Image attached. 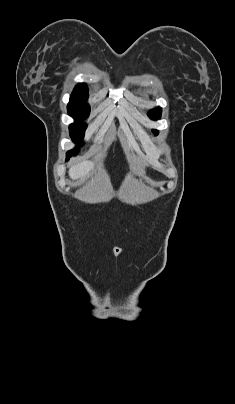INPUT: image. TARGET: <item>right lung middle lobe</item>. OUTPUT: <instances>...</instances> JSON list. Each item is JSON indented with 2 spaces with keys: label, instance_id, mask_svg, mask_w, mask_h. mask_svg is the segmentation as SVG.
I'll use <instances>...</instances> for the list:
<instances>
[{
  "label": "right lung middle lobe",
  "instance_id": "obj_1",
  "mask_svg": "<svg viewBox=\"0 0 235 404\" xmlns=\"http://www.w3.org/2000/svg\"><path fill=\"white\" fill-rule=\"evenodd\" d=\"M68 113L71 117L75 119V123L69 126L70 136L74 143L78 144V147L83 144L82 139L84 137V133L87 125L82 121L85 120L89 116L90 107L88 104L83 103H69L67 106ZM78 153V149L71 150L67 153V157H71L72 155H76Z\"/></svg>",
  "mask_w": 235,
  "mask_h": 404
}]
</instances>
